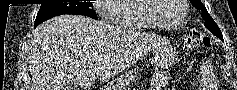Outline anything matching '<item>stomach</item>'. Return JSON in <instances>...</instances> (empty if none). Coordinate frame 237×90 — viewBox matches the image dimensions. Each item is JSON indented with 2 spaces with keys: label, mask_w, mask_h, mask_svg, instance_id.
Returning a JSON list of instances; mask_svg holds the SVG:
<instances>
[{
  "label": "stomach",
  "mask_w": 237,
  "mask_h": 90,
  "mask_svg": "<svg viewBox=\"0 0 237 90\" xmlns=\"http://www.w3.org/2000/svg\"><path fill=\"white\" fill-rule=\"evenodd\" d=\"M175 61V54L165 52V54L157 55L154 59V65L157 69H162L170 66ZM137 72L134 70L126 72L121 77L107 85V90H129L134 83Z\"/></svg>",
  "instance_id": "stomach-1"
}]
</instances>
